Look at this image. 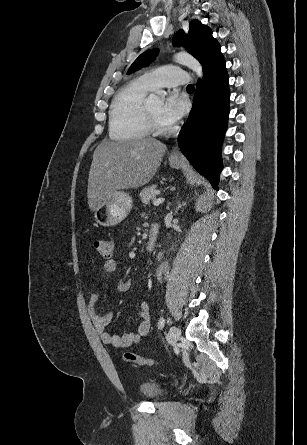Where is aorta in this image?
<instances>
[{"instance_id": "obj_1", "label": "aorta", "mask_w": 307, "mask_h": 445, "mask_svg": "<svg viewBox=\"0 0 307 445\" xmlns=\"http://www.w3.org/2000/svg\"><path fill=\"white\" fill-rule=\"evenodd\" d=\"M174 60L175 62H178V64H184V66H188V68H191V70H194L200 78L203 76V68L197 60V58H194L192 54H189V52H186V50H181V52H176L174 54ZM164 96H165V90H162V88H156L154 92H151L149 96L146 98L147 104H163L164 102Z\"/></svg>"}]
</instances>
